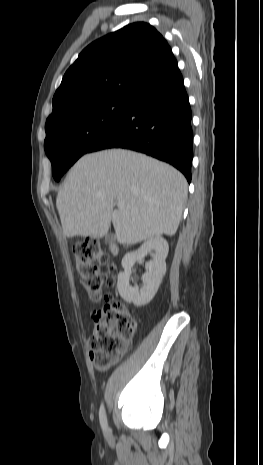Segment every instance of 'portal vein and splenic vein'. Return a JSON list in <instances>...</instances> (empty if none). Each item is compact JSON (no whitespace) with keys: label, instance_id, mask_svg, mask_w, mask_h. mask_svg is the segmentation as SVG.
<instances>
[{"label":"portal vein and splenic vein","instance_id":"obj_1","mask_svg":"<svg viewBox=\"0 0 263 465\" xmlns=\"http://www.w3.org/2000/svg\"><path fill=\"white\" fill-rule=\"evenodd\" d=\"M117 206H118L119 209H120V208H123V203L118 202V203H117Z\"/></svg>","mask_w":263,"mask_h":465}]
</instances>
